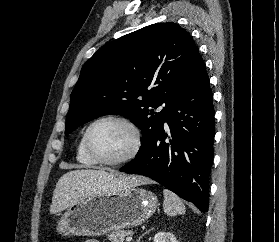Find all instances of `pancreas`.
<instances>
[{
  "label": "pancreas",
  "mask_w": 279,
  "mask_h": 242,
  "mask_svg": "<svg viewBox=\"0 0 279 242\" xmlns=\"http://www.w3.org/2000/svg\"><path fill=\"white\" fill-rule=\"evenodd\" d=\"M133 234V231L128 230H119V231H113L110 235H108V240L110 242H124L125 237L131 236Z\"/></svg>",
  "instance_id": "cf45deb5"
}]
</instances>
